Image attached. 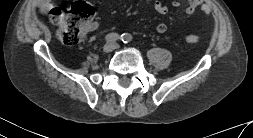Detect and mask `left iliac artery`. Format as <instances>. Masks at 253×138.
<instances>
[{
  "mask_svg": "<svg viewBox=\"0 0 253 138\" xmlns=\"http://www.w3.org/2000/svg\"><path fill=\"white\" fill-rule=\"evenodd\" d=\"M121 40L124 42V43H128L131 41V36L129 34H122L121 35Z\"/></svg>",
  "mask_w": 253,
  "mask_h": 138,
  "instance_id": "44dca946",
  "label": "left iliac artery"
}]
</instances>
